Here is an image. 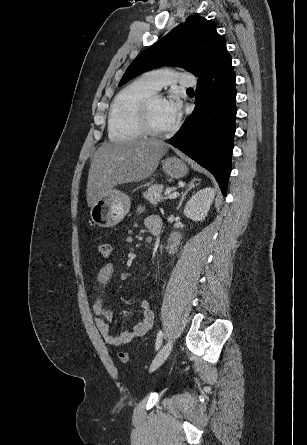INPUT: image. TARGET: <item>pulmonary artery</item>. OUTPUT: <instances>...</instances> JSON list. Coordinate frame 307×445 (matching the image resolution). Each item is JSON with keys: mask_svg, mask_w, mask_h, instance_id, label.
<instances>
[{"mask_svg": "<svg viewBox=\"0 0 307 445\" xmlns=\"http://www.w3.org/2000/svg\"><path fill=\"white\" fill-rule=\"evenodd\" d=\"M145 80L154 89H159L165 83L178 84L179 90H190L195 87L193 75H186L184 69H149L143 74Z\"/></svg>", "mask_w": 307, "mask_h": 445, "instance_id": "obj_1", "label": "pulmonary artery"}]
</instances>
